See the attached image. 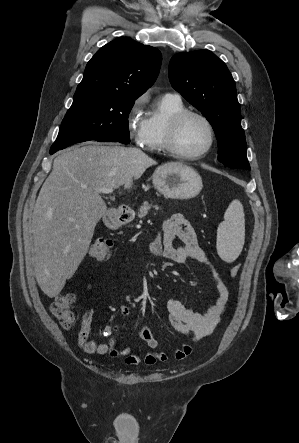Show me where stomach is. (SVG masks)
<instances>
[{"label":"stomach","instance_id":"obj_1","mask_svg":"<svg viewBox=\"0 0 299 443\" xmlns=\"http://www.w3.org/2000/svg\"><path fill=\"white\" fill-rule=\"evenodd\" d=\"M155 189L170 199H190L202 189L200 175L191 167L181 163H169L159 166L152 175ZM125 220L115 217L112 227L117 228Z\"/></svg>","mask_w":299,"mask_h":443}]
</instances>
